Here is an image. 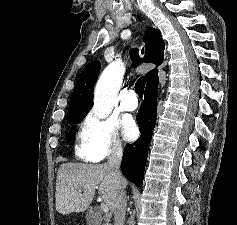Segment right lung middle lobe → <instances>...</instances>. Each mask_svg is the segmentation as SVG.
<instances>
[{
	"label": "right lung middle lobe",
	"mask_w": 237,
	"mask_h": 225,
	"mask_svg": "<svg viewBox=\"0 0 237 225\" xmlns=\"http://www.w3.org/2000/svg\"><path fill=\"white\" fill-rule=\"evenodd\" d=\"M87 115L85 111H72L68 113L67 123L68 124H77L83 120V118ZM76 132V128L72 127L69 133L66 136L67 141H73L74 135Z\"/></svg>",
	"instance_id": "dd1d6c3e"
}]
</instances>
